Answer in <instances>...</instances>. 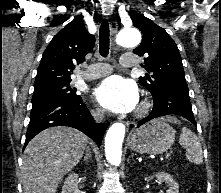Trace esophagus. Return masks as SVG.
I'll return each mask as SVG.
<instances>
[{
    "instance_id": "obj_1",
    "label": "esophagus",
    "mask_w": 221,
    "mask_h": 193,
    "mask_svg": "<svg viewBox=\"0 0 221 193\" xmlns=\"http://www.w3.org/2000/svg\"><path fill=\"white\" fill-rule=\"evenodd\" d=\"M110 30H111L112 36L114 37L117 33V24H116V22L111 21ZM126 125H127V127H130V128H134L136 126L134 123L133 124L132 123H127Z\"/></svg>"
}]
</instances>
